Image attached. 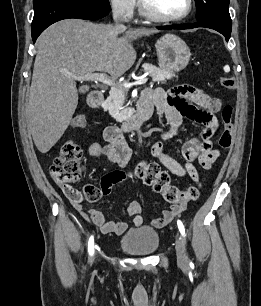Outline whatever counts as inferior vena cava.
Instances as JSON below:
<instances>
[{"mask_svg":"<svg viewBox=\"0 0 261 306\" xmlns=\"http://www.w3.org/2000/svg\"><path fill=\"white\" fill-rule=\"evenodd\" d=\"M114 21L116 22V29L119 31L125 30L126 27L123 24H119L117 21V15L114 14Z\"/></svg>","mask_w":261,"mask_h":306,"instance_id":"obj_1","label":"inferior vena cava"}]
</instances>
